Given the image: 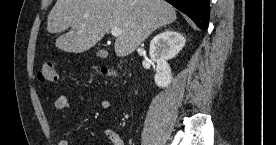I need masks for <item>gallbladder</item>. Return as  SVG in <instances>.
Instances as JSON below:
<instances>
[{"instance_id": "bac80fb5", "label": "gallbladder", "mask_w": 276, "mask_h": 145, "mask_svg": "<svg viewBox=\"0 0 276 145\" xmlns=\"http://www.w3.org/2000/svg\"><path fill=\"white\" fill-rule=\"evenodd\" d=\"M104 54H105V51H104V50H99V51L97 52V55H98L99 57H101V58L104 57Z\"/></svg>"}]
</instances>
